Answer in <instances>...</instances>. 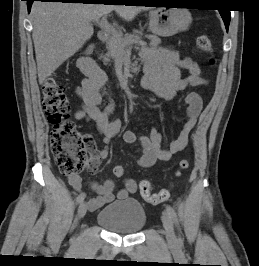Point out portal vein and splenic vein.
<instances>
[{
	"label": "portal vein and splenic vein",
	"mask_w": 259,
	"mask_h": 266,
	"mask_svg": "<svg viewBox=\"0 0 259 266\" xmlns=\"http://www.w3.org/2000/svg\"><path fill=\"white\" fill-rule=\"evenodd\" d=\"M94 22H96L99 25V27L106 30L108 33L112 34V36L118 35L117 30L108 23L106 16H103L101 19L97 18L94 20ZM134 43L142 47L146 46V43L143 41H134Z\"/></svg>",
	"instance_id": "18ae733b"
}]
</instances>
